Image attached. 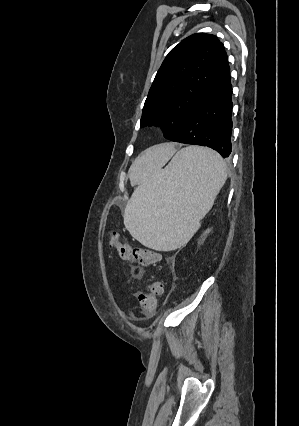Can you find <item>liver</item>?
Returning a JSON list of instances; mask_svg holds the SVG:
<instances>
[{
  "label": "liver",
  "instance_id": "liver-1",
  "mask_svg": "<svg viewBox=\"0 0 299 426\" xmlns=\"http://www.w3.org/2000/svg\"><path fill=\"white\" fill-rule=\"evenodd\" d=\"M176 152L171 143L152 146L142 152L130 167L131 181H140L164 165Z\"/></svg>",
  "mask_w": 299,
  "mask_h": 426
}]
</instances>
